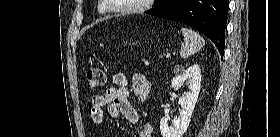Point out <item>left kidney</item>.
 <instances>
[{
  "instance_id": "5707ae66",
  "label": "left kidney",
  "mask_w": 280,
  "mask_h": 137,
  "mask_svg": "<svg viewBox=\"0 0 280 137\" xmlns=\"http://www.w3.org/2000/svg\"><path fill=\"white\" fill-rule=\"evenodd\" d=\"M184 82L187 83L189 91L179 98L178 103L181 106L180 115L174 117L170 126L167 116L162 117L160 121V131L163 137H182L186 132L200 92L201 70L199 65H191L186 70L178 73L172 79V87L180 88Z\"/></svg>"
}]
</instances>
